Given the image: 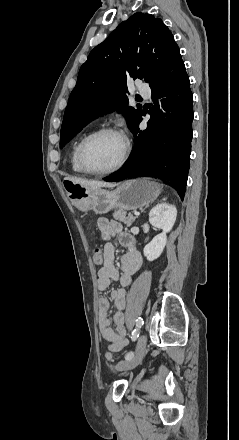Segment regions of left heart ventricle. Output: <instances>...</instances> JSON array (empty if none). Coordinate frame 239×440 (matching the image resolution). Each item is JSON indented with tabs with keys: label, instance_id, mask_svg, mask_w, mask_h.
I'll list each match as a JSON object with an SVG mask.
<instances>
[{
	"label": "left heart ventricle",
	"instance_id": "obj_1",
	"mask_svg": "<svg viewBox=\"0 0 239 440\" xmlns=\"http://www.w3.org/2000/svg\"><path fill=\"white\" fill-rule=\"evenodd\" d=\"M124 151V139L116 134H104L92 140L86 148L88 166L97 171L115 167Z\"/></svg>",
	"mask_w": 239,
	"mask_h": 440
}]
</instances>
